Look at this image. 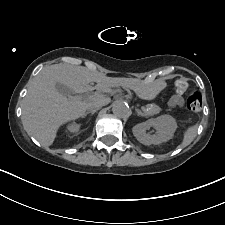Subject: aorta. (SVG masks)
Segmentation results:
<instances>
[{"instance_id": "obj_1", "label": "aorta", "mask_w": 225, "mask_h": 225, "mask_svg": "<svg viewBox=\"0 0 225 225\" xmlns=\"http://www.w3.org/2000/svg\"><path fill=\"white\" fill-rule=\"evenodd\" d=\"M112 112L118 118H127L130 115L129 106L121 100H116L113 102Z\"/></svg>"}]
</instances>
